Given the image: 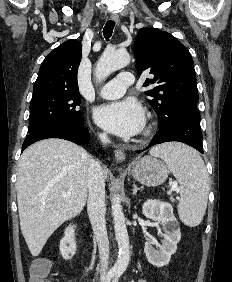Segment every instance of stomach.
Returning a JSON list of instances; mask_svg holds the SVG:
<instances>
[{
	"label": "stomach",
	"mask_w": 232,
	"mask_h": 282,
	"mask_svg": "<svg viewBox=\"0 0 232 282\" xmlns=\"http://www.w3.org/2000/svg\"><path fill=\"white\" fill-rule=\"evenodd\" d=\"M169 171L165 164L152 156L139 159L132 167L133 178L147 186H158L166 181Z\"/></svg>",
	"instance_id": "obj_1"
}]
</instances>
